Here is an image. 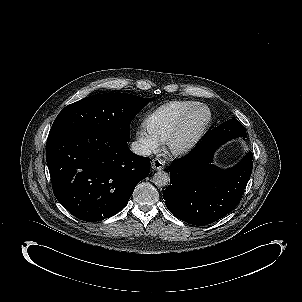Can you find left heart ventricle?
<instances>
[{
  "label": "left heart ventricle",
  "instance_id": "b2bd125f",
  "mask_svg": "<svg viewBox=\"0 0 302 302\" xmlns=\"http://www.w3.org/2000/svg\"><path fill=\"white\" fill-rule=\"evenodd\" d=\"M206 118V113L204 111H198L189 117L179 132L176 134L173 144L175 146L182 145L188 139H190L196 131L202 126Z\"/></svg>",
  "mask_w": 302,
  "mask_h": 302
}]
</instances>
